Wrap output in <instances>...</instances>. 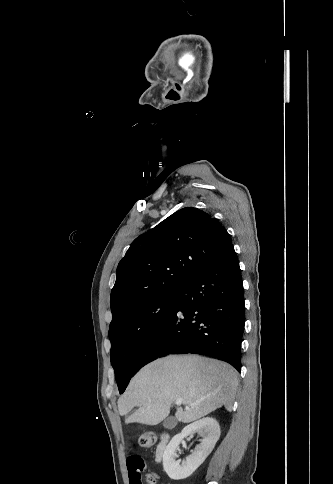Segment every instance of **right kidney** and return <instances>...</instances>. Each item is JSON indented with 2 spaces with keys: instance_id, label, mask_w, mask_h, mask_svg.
I'll return each mask as SVG.
<instances>
[{
  "instance_id": "obj_1",
  "label": "right kidney",
  "mask_w": 333,
  "mask_h": 484,
  "mask_svg": "<svg viewBox=\"0 0 333 484\" xmlns=\"http://www.w3.org/2000/svg\"><path fill=\"white\" fill-rule=\"evenodd\" d=\"M194 433H199L203 439L195 451L186 458V461L180 464V461L176 460V449L185 437ZM219 437L220 427L213 418L206 417L187 425L167 445L163 454L164 471L173 480H182L189 477L205 461Z\"/></svg>"
}]
</instances>
